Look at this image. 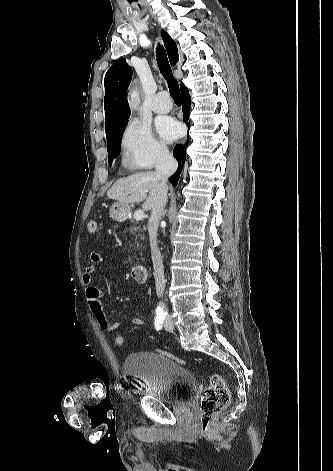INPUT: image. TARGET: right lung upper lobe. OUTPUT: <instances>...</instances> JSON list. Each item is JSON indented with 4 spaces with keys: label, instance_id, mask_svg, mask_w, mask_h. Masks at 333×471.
<instances>
[{
    "label": "right lung upper lobe",
    "instance_id": "1",
    "mask_svg": "<svg viewBox=\"0 0 333 471\" xmlns=\"http://www.w3.org/2000/svg\"><path fill=\"white\" fill-rule=\"evenodd\" d=\"M161 36L166 47L172 66L179 60L176 43L170 35L161 31ZM132 68L125 59L116 61L107 71L104 78L105 97V131L113 126L127 121L130 117V109L126 100L127 88L131 82ZM185 86L181 83V88Z\"/></svg>",
    "mask_w": 333,
    "mask_h": 471
}]
</instances>
